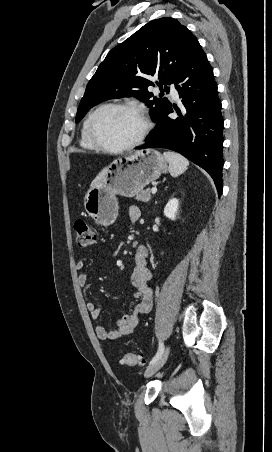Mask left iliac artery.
Listing matches in <instances>:
<instances>
[{
	"mask_svg": "<svg viewBox=\"0 0 272 452\" xmlns=\"http://www.w3.org/2000/svg\"><path fill=\"white\" fill-rule=\"evenodd\" d=\"M163 351H164V344H163V342L160 341L158 351H157L156 355L153 357V359L151 360L150 365L158 360V358L162 355Z\"/></svg>",
	"mask_w": 272,
	"mask_h": 452,
	"instance_id": "44dca946",
	"label": "left iliac artery"
}]
</instances>
